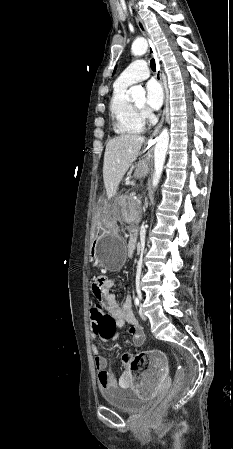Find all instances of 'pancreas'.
Here are the masks:
<instances>
[{
  "instance_id": "obj_1",
  "label": "pancreas",
  "mask_w": 233,
  "mask_h": 449,
  "mask_svg": "<svg viewBox=\"0 0 233 449\" xmlns=\"http://www.w3.org/2000/svg\"><path fill=\"white\" fill-rule=\"evenodd\" d=\"M124 198L130 202L129 206L134 210L131 217L139 219L141 217V210L137 202L133 199V195H125Z\"/></svg>"
}]
</instances>
